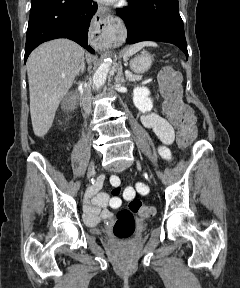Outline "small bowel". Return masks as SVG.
I'll return each instance as SVG.
<instances>
[{"mask_svg": "<svg viewBox=\"0 0 240 288\" xmlns=\"http://www.w3.org/2000/svg\"><path fill=\"white\" fill-rule=\"evenodd\" d=\"M142 125L151 130L163 144L159 148L160 155L163 159L170 161L171 152L167 148L174 140V130L170 123L157 113L151 112L143 114L141 116ZM111 184L113 185L112 196L105 192H101L100 189L103 184V178H99L96 182L88 189L85 195L84 201V219L87 224L95 225L101 219H109L111 212L108 207L112 209L119 208L121 206L120 195V178L117 175H113L110 178ZM135 191L141 195H147L149 188L144 183L138 182L133 187H127L124 191V197L128 199L129 196H134Z\"/></svg>", "mask_w": 240, "mask_h": 288, "instance_id": "1", "label": "small bowel"}]
</instances>
